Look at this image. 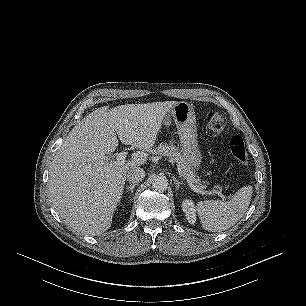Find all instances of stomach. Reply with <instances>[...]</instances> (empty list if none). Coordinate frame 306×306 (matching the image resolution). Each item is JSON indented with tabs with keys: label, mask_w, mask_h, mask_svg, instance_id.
I'll list each match as a JSON object with an SVG mask.
<instances>
[{
	"label": "stomach",
	"mask_w": 306,
	"mask_h": 306,
	"mask_svg": "<svg viewBox=\"0 0 306 306\" xmlns=\"http://www.w3.org/2000/svg\"><path fill=\"white\" fill-rule=\"evenodd\" d=\"M172 120L176 124L182 145V153L195 171L201 162L197 143V128L194 108L187 102H178L165 116L162 125L169 127Z\"/></svg>",
	"instance_id": "stomach-1"
}]
</instances>
